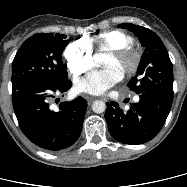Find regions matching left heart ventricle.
<instances>
[{"mask_svg":"<svg viewBox=\"0 0 187 187\" xmlns=\"http://www.w3.org/2000/svg\"><path fill=\"white\" fill-rule=\"evenodd\" d=\"M132 63V58L131 57H124V58H114L110 55H107L104 60V66L105 67H113L116 70H118L121 74H123L130 66Z\"/></svg>","mask_w":187,"mask_h":187,"instance_id":"left-heart-ventricle-1","label":"left heart ventricle"}]
</instances>
